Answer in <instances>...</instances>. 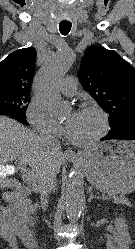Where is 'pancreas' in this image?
<instances>
[{"instance_id": "pancreas-1", "label": "pancreas", "mask_w": 135, "mask_h": 249, "mask_svg": "<svg viewBox=\"0 0 135 249\" xmlns=\"http://www.w3.org/2000/svg\"><path fill=\"white\" fill-rule=\"evenodd\" d=\"M113 202L116 204H123L126 206H131V202L128 201V199H126L123 196H112ZM35 208L33 206H30V210L29 212H34Z\"/></svg>"}]
</instances>
